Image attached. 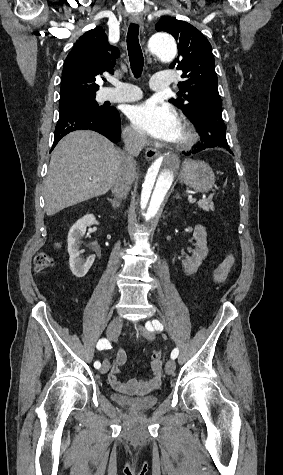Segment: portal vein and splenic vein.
Segmentation results:
<instances>
[{"label": "portal vein and splenic vein", "mask_w": 283, "mask_h": 475, "mask_svg": "<svg viewBox=\"0 0 283 475\" xmlns=\"http://www.w3.org/2000/svg\"><path fill=\"white\" fill-rule=\"evenodd\" d=\"M189 202H190V204H194V202H196V200H194V198H192V196H189Z\"/></svg>", "instance_id": "18ae733b"}]
</instances>
